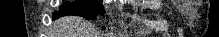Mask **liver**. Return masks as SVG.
<instances>
[{
	"mask_svg": "<svg viewBox=\"0 0 219 37\" xmlns=\"http://www.w3.org/2000/svg\"><path fill=\"white\" fill-rule=\"evenodd\" d=\"M57 35L61 37H95L90 25L78 17H64L55 22Z\"/></svg>",
	"mask_w": 219,
	"mask_h": 37,
	"instance_id": "1",
	"label": "liver"
}]
</instances>
